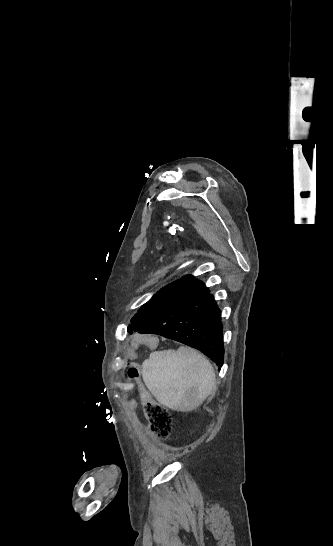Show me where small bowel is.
I'll return each mask as SVG.
<instances>
[{
	"label": "small bowel",
	"instance_id": "1",
	"mask_svg": "<svg viewBox=\"0 0 333 546\" xmlns=\"http://www.w3.org/2000/svg\"><path fill=\"white\" fill-rule=\"evenodd\" d=\"M155 337V333L151 331L138 332L134 338V343L138 346H142L144 349H155L159 345V342L157 339H155ZM141 358L142 357L139 354L134 356L136 361H139Z\"/></svg>",
	"mask_w": 333,
	"mask_h": 546
}]
</instances>
